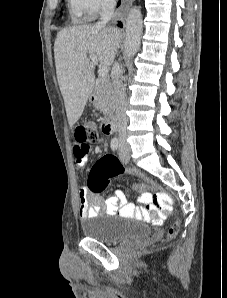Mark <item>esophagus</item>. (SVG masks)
<instances>
[{
    "mask_svg": "<svg viewBox=\"0 0 227 298\" xmlns=\"http://www.w3.org/2000/svg\"><path fill=\"white\" fill-rule=\"evenodd\" d=\"M118 20L123 21V17L121 15H119Z\"/></svg>",
    "mask_w": 227,
    "mask_h": 298,
    "instance_id": "obj_1",
    "label": "esophagus"
}]
</instances>
